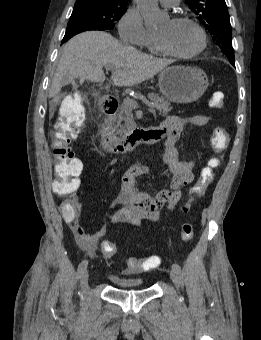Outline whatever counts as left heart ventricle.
<instances>
[{"mask_svg": "<svg viewBox=\"0 0 261 340\" xmlns=\"http://www.w3.org/2000/svg\"><path fill=\"white\" fill-rule=\"evenodd\" d=\"M156 36L178 53H190L200 45V34L189 23H175L170 20L157 31Z\"/></svg>", "mask_w": 261, "mask_h": 340, "instance_id": "1", "label": "left heart ventricle"}]
</instances>
